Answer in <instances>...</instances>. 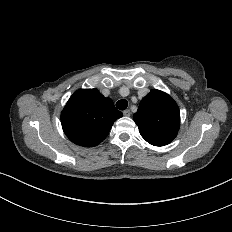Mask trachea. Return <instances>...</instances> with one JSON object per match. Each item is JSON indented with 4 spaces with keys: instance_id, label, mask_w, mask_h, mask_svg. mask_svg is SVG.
I'll list each match as a JSON object with an SVG mask.
<instances>
[{
    "instance_id": "obj_1",
    "label": "trachea",
    "mask_w": 232,
    "mask_h": 232,
    "mask_svg": "<svg viewBox=\"0 0 232 232\" xmlns=\"http://www.w3.org/2000/svg\"><path fill=\"white\" fill-rule=\"evenodd\" d=\"M128 106V102L124 99L122 100H119L116 102V107L119 109V110H125Z\"/></svg>"
}]
</instances>
